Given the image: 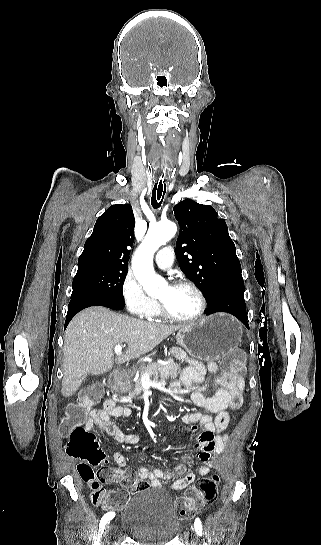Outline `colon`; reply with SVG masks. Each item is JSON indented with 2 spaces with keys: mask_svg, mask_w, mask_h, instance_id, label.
Wrapping results in <instances>:
<instances>
[{
  "mask_svg": "<svg viewBox=\"0 0 321 545\" xmlns=\"http://www.w3.org/2000/svg\"><path fill=\"white\" fill-rule=\"evenodd\" d=\"M223 373L241 378L245 373L243 356L237 351L230 352L221 362ZM102 395L100 386H91L83 390L79 400L71 404L60 423V433L66 439L65 450L69 456L82 460H99L103 452L99 447L95 434L85 428V422L91 409L98 404ZM90 487V498L94 504L105 510H120L128 499L130 492H138L149 487V483L129 471L122 484L126 487L120 491H106L101 485V478L85 476ZM220 478L218 475L200 478L195 485L188 488L185 494L175 502L179 519H188L194 512L206 504L213 503L218 495Z\"/></svg>",
  "mask_w": 321,
  "mask_h": 545,
  "instance_id": "colon-1",
  "label": "colon"
}]
</instances>
